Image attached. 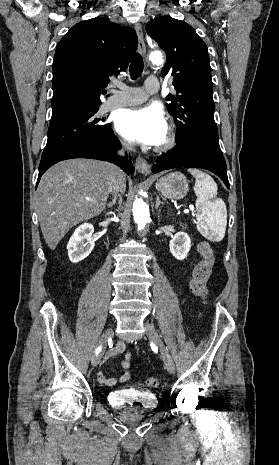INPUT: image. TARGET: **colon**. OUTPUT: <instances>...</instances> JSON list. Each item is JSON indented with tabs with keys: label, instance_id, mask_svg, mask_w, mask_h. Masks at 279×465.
I'll return each instance as SVG.
<instances>
[{
	"label": "colon",
	"instance_id": "5ec220e1",
	"mask_svg": "<svg viewBox=\"0 0 279 465\" xmlns=\"http://www.w3.org/2000/svg\"><path fill=\"white\" fill-rule=\"evenodd\" d=\"M198 252L201 259L194 268L190 287L195 295L206 299L208 296L207 283L212 274L215 255L211 245L207 242H202L199 245ZM146 384L148 387L157 388L160 385V381L156 377H149L146 380Z\"/></svg>",
	"mask_w": 279,
	"mask_h": 465
}]
</instances>
